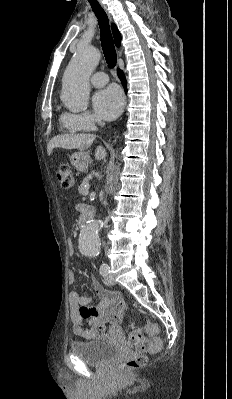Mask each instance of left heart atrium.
Here are the masks:
<instances>
[{"label": "left heart atrium", "mask_w": 232, "mask_h": 399, "mask_svg": "<svg viewBox=\"0 0 232 399\" xmlns=\"http://www.w3.org/2000/svg\"><path fill=\"white\" fill-rule=\"evenodd\" d=\"M93 104L99 118L111 121L117 118L121 113L123 109V98L115 87H109L95 95Z\"/></svg>", "instance_id": "obj_1"}]
</instances>
